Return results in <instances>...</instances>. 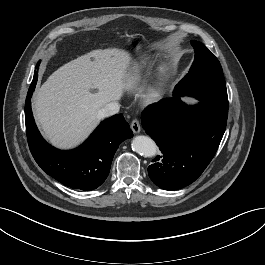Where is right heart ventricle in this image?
<instances>
[{
  "label": "right heart ventricle",
  "mask_w": 265,
  "mask_h": 265,
  "mask_svg": "<svg viewBox=\"0 0 265 265\" xmlns=\"http://www.w3.org/2000/svg\"><path fill=\"white\" fill-rule=\"evenodd\" d=\"M147 60L145 56L140 57L136 65L125 76L124 86L127 89L133 88L142 80L146 72Z\"/></svg>",
  "instance_id": "e07e8e85"
}]
</instances>
